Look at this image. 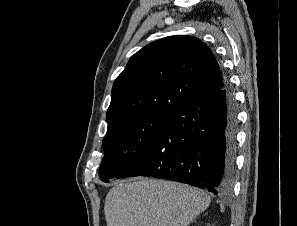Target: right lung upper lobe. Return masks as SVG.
Segmentation results:
<instances>
[{"instance_id": "obj_1", "label": "right lung upper lobe", "mask_w": 297, "mask_h": 226, "mask_svg": "<svg viewBox=\"0 0 297 226\" xmlns=\"http://www.w3.org/2000/svg\"><path fill=\"white\" fill-rule=\"evenodd\" d=\"M215 56L200 39L170 36L134 54L116 78L107 123L148 112H173L226 83Z\"/></svg>"}]
</instances>
